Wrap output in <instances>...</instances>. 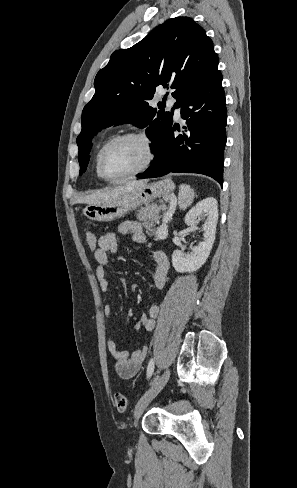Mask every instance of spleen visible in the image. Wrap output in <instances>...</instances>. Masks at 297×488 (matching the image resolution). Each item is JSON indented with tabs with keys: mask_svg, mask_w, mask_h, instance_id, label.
<instances>
[{
	"mask_svg": "<svg viewBox=\"0 0 297 488\" xmlns=\"http://www.w3.org/2000/svg\"><path fill=\"white\" fill-rule=\"evenodd\" d=\"M194 196L195 193L190 186L181 185L179 191V207L181 209H186L193 202Z\"/></svg>",
	"mask_w": 297,
	"mask_h": 488,
	"instance_id": "obj_1",
	"label": "spleen"
}]
</instances>
